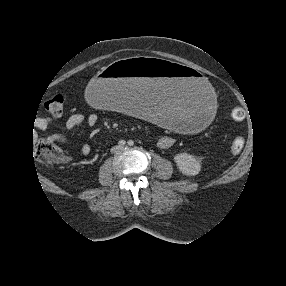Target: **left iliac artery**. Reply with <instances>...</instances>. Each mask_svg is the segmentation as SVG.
Segmentation results:
<instances>
[{
    "label": "left iliac artery",
    "mask_w": 286,
    "mask_h": 286,
    "mask_svg": "<svg viewBox=\"0 0 286 286\" xmlns=\"http://www.w3.org/2000/svg\"><path fill=\"white\" fill-rule=\"evenodd\" d=\"M128 145H129V146H133V145H134V142H133L132 140H129V141H128Z\"/></svg>",
    "instance_id": "left-iliac-artery-1"
}]
</instances>
